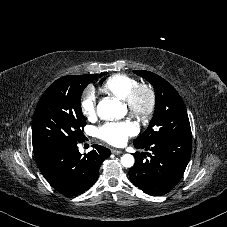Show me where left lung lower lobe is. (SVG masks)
I'll return each mask as SVG.
<instances>
[{
  "label": "left lung lower lobe",
  "mask_w": 227,
  "mask_h": 227,
  "mask_svg": "<svg viewBox=\"0 0 227 227\" xmlns=\"http://www.w3.org/2000/svg\"><path fill=\"white\" fill-rule=\"evenodd\" d=\"M134 146L151 153L133 154L135 165L129 170L132 183L149 195L160 196L171 191L182 178L191 155L192 137Z\"/></svg>",
  "instance_id": "left-lung-lower-lobe-1"
}]
</instances>
